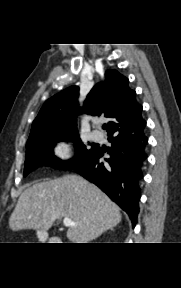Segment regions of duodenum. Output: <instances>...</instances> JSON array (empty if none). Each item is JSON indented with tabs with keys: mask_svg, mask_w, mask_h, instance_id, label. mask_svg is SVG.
<instances>
[{
	"mask_svg": "<svg viewBox=\"0 0 181 288\" xmlns=\"http://www.w3.org/2000/svg\"><path fill=\"white\" fill-rule=\"evenodd\" d=\"M40 238H41L42 240H44V241H47V240L49 239L48 235L45 234V233H41V234H40ZM57 241H59V240H57Z\"/></svg>",
	"mask_w": 181,
	"mask_h": 288,
	"instance_id": "1",
	"label": "duodenum"
}]
</instances>
